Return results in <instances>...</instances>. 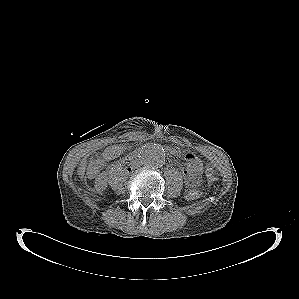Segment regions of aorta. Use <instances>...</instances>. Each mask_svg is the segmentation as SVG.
<instances>
[{
  "label": "aorta",
  "mask_w": 299,
  "mask_h": 299,
  "mask_svg": "<svg viewBox=\"0 0 299 299\" xmlns=\"http://www.w3.org/2000/svg\"><path fill=\"white\" fill-rule=\"evenodd\" d=\"M140 160L149 168H158L163 165L165 161V151L158 145L148 143L140 149Z\"/></svg>",
  "instance_id": "obj_1"
}]
</instances>
